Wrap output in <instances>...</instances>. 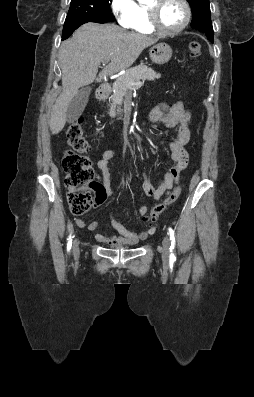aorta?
Wrapping results in <instances>:
<instances>
[{
    "instance_id": "aorta-1",
    "label": "aorta",
    "mask_w": 254,
    "mask_h": 397,
    "mask_svg": "<svg viewBox=\"0 0 254 397\" xmlns=\"http://www.w3.org/2000/svg\"><path fill=\"white\" fill-rule=\"evenodd\" d=\"M139 2H145L146 0H138Z\"/></svg>"
}]
</instances>
